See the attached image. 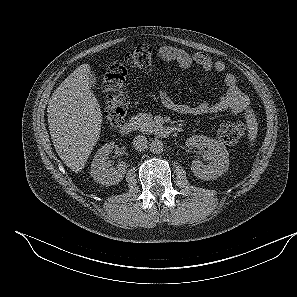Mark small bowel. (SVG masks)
<instances>
[{"label":"small bowel","instance_id":"1","mask_svg":"<svg viewBox=\"0 0 297 297\" xmlns=\"http://www.w3.org/2000/svg\"><path fill=\"white\" fill-rule=\"evenodd\" d=\"M157 56L162 61L175 62L183 69H188L193 65L199 66L204 71H215L223 73L226 69L224 62L213 60L204 53L190 54L184 50L171 46H161L157 50ZM225 93L215 103L201 102L197 105H187L176 103L165 91L159 94L162 105L178 114L184 115H209L224 111L233 114H243L249 108V98L237 86L236 78L233 74L227 73L224 76Z\"/></svg>","mask_w":297,"mask_h":297}]
</instances>
